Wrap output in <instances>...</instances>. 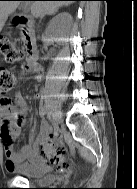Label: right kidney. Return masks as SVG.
Here are the masks:
<instances>
[{
    "mask_svg": "<svg viewBox=\"0 0 137 189\" xmlns=\"http://www.w3.org/2000/svg\"><path fill=\"white\" fill-rule=\"evenodd\" d=\"M71 21H72V17L69 13L63 12V13L57 15L50 22V24L46 30V35H48V36L55 35L61 28L69 26ZM63 40H64L63 38L58 39L59 42H61Z\"/></svg>",
    "mask_w": 137,
    "mask_h": 189,
    "instance_id": "ca27d5eb",
    "label": "right kidney"
}]
</instances>
